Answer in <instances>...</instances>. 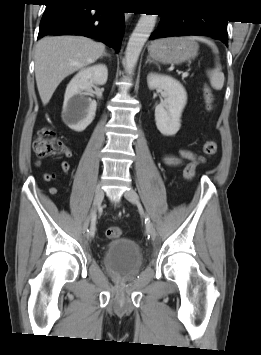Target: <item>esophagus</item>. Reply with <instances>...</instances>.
I'll use <instances>...</instances> for the list:
<instances>
[{"label": "esophagus", "mask_w": 261, "mask_h": 355, "mask_svg": "<svg viewBox=\"0 0 261 355\" xmlns=\"http://www.w3.org/2000/svg\"><path fill=\"white\" fill-rule=\"evenodd\" d=\"M125 20H128L129 19V17H130V14L129 13H125Z\"/></svg>", "instance_id": "obj_1"}]
</instances>
